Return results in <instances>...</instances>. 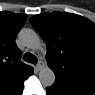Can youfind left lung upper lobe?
<instances>
[{"instance_id":"left-lung-upper-lobe-1","label":"left lung upper lobe","mask_w":95,"mask_h":95,"mask_svg":"<svg viewBox=\"0 0 95 95\" xmlns=\"http://www.w3.org/2000/svg\"><path fill=\"white\" fill-rule=\"evenodd\" d=\"M30 24L47 44L46 60L55 79L95 86V24L71 13H43Z\"/></svg>"}]
</instances>
